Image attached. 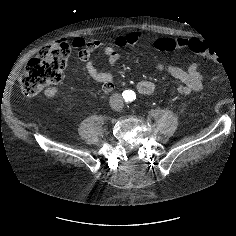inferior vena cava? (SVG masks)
<instances>
[{"label":"inferior vena cava","instance_id":"inferior-vena-cava-1","mask_svg":"<svg viewBox=\"0 0 236 236\" xmlns=\"http://www.w3.org/2000/svg\"><path fill=\"white\" fill-rule=\"evenodd\" d=\"M109 103H110V107L113 110L118 111V110H121L123 108V98L118 93H113L111 95Z\"/></svg>","mask_w":236,"mask_h":236}]
</instances>
